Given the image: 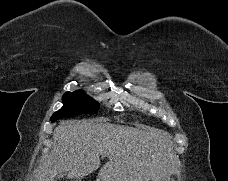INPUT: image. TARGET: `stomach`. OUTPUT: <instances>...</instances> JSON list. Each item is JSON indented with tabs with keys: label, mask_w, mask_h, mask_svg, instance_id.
<instances>
[{
	"label": "stomach",
	"mask_w": 228,
	"mask_h": 181,
	"mask_svg": "<svg viewBox=\"0 0 228 181\" xmlns=\"http://www.w3.org/2000/svg\"><path fill=\"white\" fill-rule=\"evenodd\" d=\"M167 181H175L173 175H170V177H168Z\"/></svg>",
	"instance_id": "1"
}]
</instances>
